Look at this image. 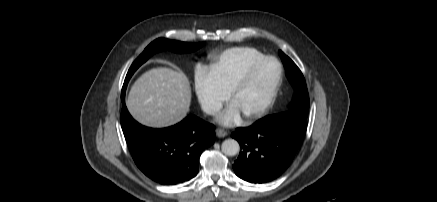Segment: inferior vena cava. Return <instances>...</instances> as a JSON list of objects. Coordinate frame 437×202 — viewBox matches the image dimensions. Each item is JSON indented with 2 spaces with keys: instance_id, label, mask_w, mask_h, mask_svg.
<instances>
[{
  "instance_id": "602c4592",
  "label": "inferior vena cava",
  "mask_w": 437,
  "mask_h": 202,
  "mask_svg": "<svg viewBox=\"0 0 437 202\" xmlns=\"http://www.w3.org/2000/svg\"><path fill=\"white\" fill-rule=\"evenodd\" d=\"M202 108L204 112L210 115H213L220 110V106L217 105H204Z\"/></svg>"
}]
</instances>
